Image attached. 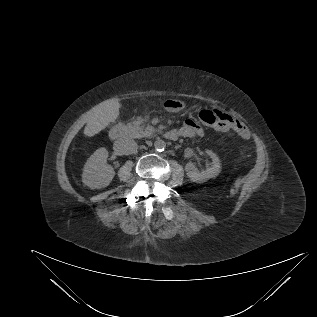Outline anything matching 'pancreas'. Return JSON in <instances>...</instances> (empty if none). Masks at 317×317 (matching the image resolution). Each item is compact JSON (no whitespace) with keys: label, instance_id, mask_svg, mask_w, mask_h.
Returning a JSON list of instances; mask_svg holds the SVG:
<instances>
[{"label":"pancreas","instance_id":"obj_1","mask_svg":"<svg viewBox=\"0 0 317 317\" xmlns=\"http://www.w3.org/2000/svg\"><path fill=\"white\" fill-rule=\"evenodd\" d=\"M124 130L126 134L134 138L150 136L155 132L154 127L150 125L145 127L144 120L141 117H138L136 120L128 123Z\"/></svg>","mask_w":317,"mask_h":317}]
</instances>
